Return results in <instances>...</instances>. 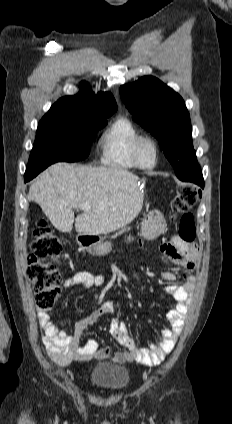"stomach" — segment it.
<instances>
[{
    "label": "stomach",
    "instance_id": "0dacf381",
    "mask_svg": "<svg viewBox=\"0 0 232 424\" xmlns=\"http://www.w3.org/2000/svg\"><path fill=\"white\" fill-rule=\"evenodd\" d=\"M165 228L166 221L161 213L148 215L141 224V235L146 240H154L164 232ZM76 240L81 247L92 255H105L112 249L111 243L100 237L80 234L77 236Z\"/></svg>",
    "mask_w": 232,
    "mask_h": 424
}]
</instances>
